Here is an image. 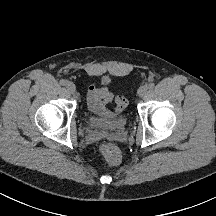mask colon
<instances>
[{"label":"colon","instance_id":"1","mask_svg":"<svg viewBox=\"0 0 216 216\" xmlns=\"http://www.w3.org/2000/svg\"><path fill=\"white\" fill-rule=\"evenodd\" d=\"M127 102L123 97L116 100V110L121 111L125 108ZM100 154L104 161L109 164H117L120 162L121 154L119 149L111 143H103L100 146Z\"/></svg>","mask_w":216,"mask_h":216}]
</instances>
